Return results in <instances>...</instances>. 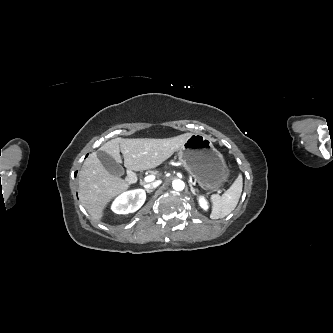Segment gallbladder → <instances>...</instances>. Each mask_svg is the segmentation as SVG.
Wrapping results in <instances>:
<instances>
[{"instance_id": "bac80fb5", "label": "gallbladder", "mask_w": 333, "mask_h": 333, "mask_svg": "<svg viewBox=\"0 0 333 333\" xmlns=\"http://www.w3.org/2000/svg\"><path fill=\"white\" fill-rule=\"evenodd\" d=\"M96 153L98 159L110 174L114 176H122L124 174V168L119 163H117L109 154L101 150H98Z\"/></svg>"}]
</instances>
